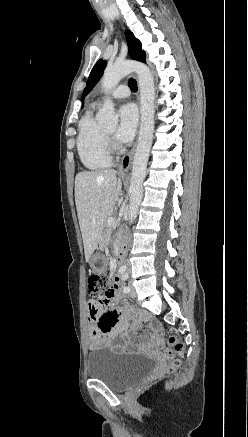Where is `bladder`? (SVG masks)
<instances>
[{
  "instance_id": "1",
  "label": "bladder",
  "mask_w": 248,
  "mask_h": 437,
  "mask_svg": "<svg viewBox=\"0 0 248 437\" xmlns=\"http://www.w3.org/2000/svg\"><path fill=\"white\" fill-rule=\"evenodd\" d=\"M156 361L138 353H121L108 349L92 353L88 362L89 378L100 380L112 388L123 390L129 385L150 377Z\"/></svg>"
}]
</instances>
